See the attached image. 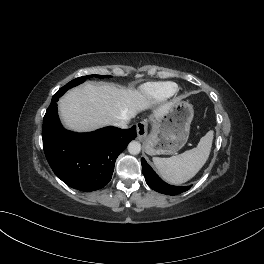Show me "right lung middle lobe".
I'll return each instance as SVG.
<instances>
[{
  "instance_id": "right-lung-middle-lobe-1",
  "label": "right lung middle lobe",
  "mask_w": 264,
  "mask_h": 264,
  "mask_svg": "<svg viewBox=\"0 0 264 264\" xmlns=\"http://www.w3.org/2000/svg\"><path fill=\"white\" fill-rule=\"evenodd\" d=\"M89 77L105 78L107 76H105V75H88V76H82V77L76 78V79L70 81L69 83H67L61 89H59L58 92L53 96L52 100L54 99V97H60L61 95H63L64 92H66L68 89L83 83L85 81V79L89 78Z\"/></svg>"
}]
</instances>
